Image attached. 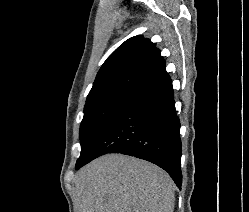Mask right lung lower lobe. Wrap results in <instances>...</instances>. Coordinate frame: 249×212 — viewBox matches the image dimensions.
I'll return each mask as SVG.
<instances>
[{
    "instance_id": "right-lung-lower-lobe-1",
    "label": "right lung lower lobe",
    "mask_w": 249,
    "mask_h": 212,
    "mask_svg": "<svg viewBox=\"0 0 249 212\" xmlns=\"http://www.w3.org/2000/svg\"><path fill=\"white\" fill-rule=\"evenodd\" d=\"M107 153L150 161L167 171L181 188L180 121L171 79L142 93L121 111L77 169Z\"/></svg>"
}]
</instances>
